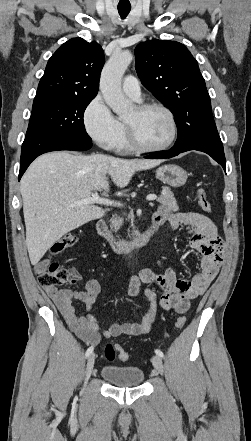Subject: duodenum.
Segmentation results:
<instances>
[{"label": "duodenum", "instance_id": "1", "mask_svg": "<svg viewBox=\"0 0 251 441\" xmlns=\"http://www.w3.org/2000/svg\"><path fill=\"white\" fill-rule=\"evenodd\" d=\"M159 226L160 223L152 218L151 224L144 232L137 234L130 240H120L113 235L104 220H99L97 223V232L108 242L115 252L127 253L134 248L146 245L154 236Z\"/></svg>", "mask_w": 251, "mask_h": 441}]
</instances>
